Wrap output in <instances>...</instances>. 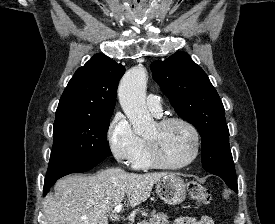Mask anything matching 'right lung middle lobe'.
I'll return each mask as SVG.
<instances>
[{
	"label": "right lung middle lobe",
	"instance_id": "right-lung-middle-lobe-1",
	"mask_svg": "<svg viewBox=\"0 0 275 224\" xmlns=\"http://www.w3.org/2000/svg\"><path fill=\"white\" fill-rule=\"evenodd\" d=\"M111 115L55 119L46 176L111 156L107 130Z\"/></svg>",
	"mask_w": 275,
	"mask_h": 224
}]
</instances>
